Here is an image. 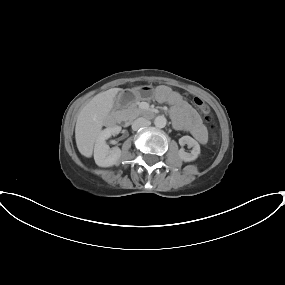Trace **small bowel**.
Listing matches in <instances>:
<instances>
[{"label":"small bowel","mask_w":285,"mask_h":285,"mask_svg":"<svg viewBox=\"0 0 285 285\" xmlns=\"http://www.w3.org/2000/svg\"><path fill=\"white\" fill-rule=\"evenodd\" d=\"M155 96L159 102L171 105L170 112L177 129L190 133L200 144L207 142V131L200 116L178 92L162 85Z\"/></svg>","instance_id":"small-bowel-1"}]
</instances>
